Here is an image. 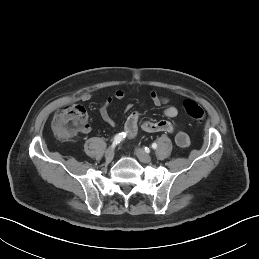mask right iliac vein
<instances>
[{"mask_svg":"<svg viewBox=\"0 0 259 259\" xmlns=\"http://www.w3.org/2000/svg\"><path fill=\"white\" fill-rule=\"evenodd\" d=\"M114 158V148L110 147L105 152V159L107 162H111Z\"/></svg>","mask_w":259,"mask_h":259,"instance_id":"right-iliac-vein-1","label":"right iliac vein"}]
</instances>
